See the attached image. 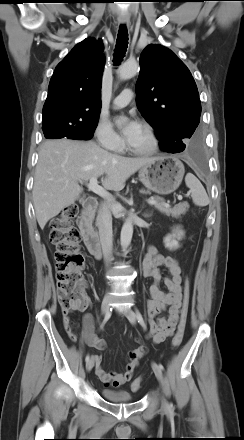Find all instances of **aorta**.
Segmentation results:
<instances>
[{
    "instance_id": "obj_1",
    "label": "aorta",
    "mask_w": 244,
    "mask_h": 440,
    "mask_svg": "<svg viewBox=\"0 0 244 440\" xmlns=\"http://www.w3.org/2000/svg\"><path fill=\"white\" fill-rule=\"evenodd\" d=\"M138 70V64L136 62H126L120 66L118 70V75L121 80H127L133 77ZM133 235V224L132 222L126 221L121 229L120 242L123 248H127L132 240Z\"/></svg>"
}]
</instances>
